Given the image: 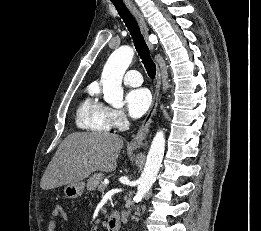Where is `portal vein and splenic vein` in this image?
<instances>
[{"instance_id":"18ae733b","label":"portal vein and splenic vein","mask_w":261,"mask_h":231,"mask_svg":"<svg viewBox=\"0 0 261 231\" xmlns=\"http://www.w3.org/2000/svg\"><path fill=\"white\" fill-rule=\"evenodd\" d=\"M100 191H104L105 189H106V186L104 185V186H100L99 188H98Z\"/></svg>"}]
</instances>
